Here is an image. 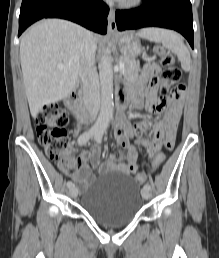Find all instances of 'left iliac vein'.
<instances>
[{"instance_id": "obj_1", "label": "left iliac vein", "mask_w": 219, "mask_h": 258, "mask_svg": "<svg viewBox=\"0 0 219 258\" xmlns=\"http://www.w3.org/2000/svg\"><path fill=\"white\" fill-rule=\"evenodd\" d=\"M141 195H142L143 199L148 200L150 198V195H151L150 190H148L146 188H143L141 190Z\"/></svg>"}]
</instances>
